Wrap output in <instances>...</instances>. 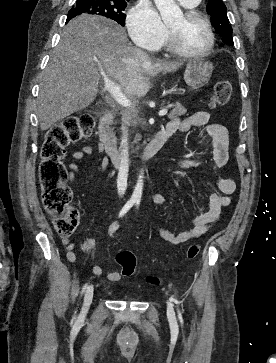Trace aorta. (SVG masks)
<instances>
[{
  "label": "aorta",
  "instance_id": "obj_1",
  "mask_svg": "<svg viewBox=\"0 0 276 363\" xmlns=\"http://www.w3.org/2000/svg\"><path fill=\"white\" fill-rule=\"evenodd\" d=\"M161 18L165 24H171L176 20L183 18V13L174 0H154ZM143 190V171L138 177L136 187L132 194L133 200H140Z\"/></svg>",
  "mask_w": 276,
  "mask_h": 363
}]
</instances>
